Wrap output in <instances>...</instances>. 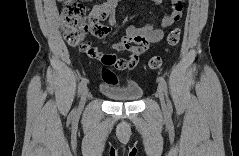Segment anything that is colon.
<instances>
[{"instance_id": "1", "label": "colon", "mask_w": 239, "mask_h": 156, "mask_svg": "<svg viewBox=\"0 0 239 156\" xmlns=\"http://www.w3.org/2000/svg\"><path fill=\"white\" fill-rule=\"evenodd\" d=\"M63 28L66 41L73 46H79L84 53H93L94 47L90 42L84 41L85 36L91 31V20L87 16L85 6L77 1L68 0L62 8ZM181 38V29L173 28L166 38V49L176 46ZM163 63V56H153L148 61L151 70H157ZM102 78L107 84H117V77L108 68L101 71Z\"/></svg>"}]
</instances>
